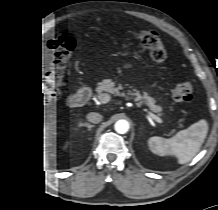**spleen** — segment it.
Returning <instances> with one entry per match:
<instances>
[{"label": "spleen", "mask_w": 218, "mask_h": 210, "mask_svg": "<svg viewBox=\"0 0 218 210\" xmlns=\"http://www.w3.org/2000/svg\"><path fill=\"white\" fill-rule=\"evenodd\" d=\"M207 132L208 123L205 119H201L171 138L151 137L148 140V146L154 154L175 156L179 164H185L198 153Z\"/></svg>", "instance_id": "1"}]
</instances>
